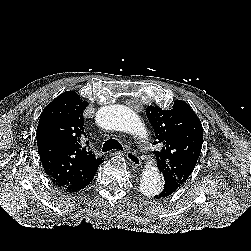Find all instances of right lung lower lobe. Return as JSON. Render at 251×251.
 Returning a JSON list of instances; mask_svg holds the SVG:
<instances>
[{"instance_id": "98d812e1", "label": "right lung lower lobe", "mask_w": 251, "mask_h": 251, "mask_svg": "<svg viewBox=\"0 0 251 251\" xmlns=\"http://www.w3.org/2000/svg\"><path fill=\"white\" fill-rule=\"evenodd\" d=\"M92 179H93V178H91L90 180L86 181L82 186L75 187V188H73V189H72L71 187H68V188H61V187H60V188L66 190V191H68V192H77V191H79V190L85 188V187L92 181Z\"/></svg>"}]
</instances>
